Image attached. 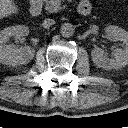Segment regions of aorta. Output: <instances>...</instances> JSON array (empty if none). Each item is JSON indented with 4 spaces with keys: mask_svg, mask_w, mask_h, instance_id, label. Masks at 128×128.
<instances>
[{
    "mask_svg": "<svg viewBox=\"0 0 128 128\" xmlns=\"http://www.w3.org/2000/svg\"><path fill=\"white\" fill-rule=\"evenodd\" d=\"M62 36L69 37L74 33V26L71 23H64L60 28Z\"/></svg>",
    "mask_w": 128,
    "mask_h": 128,
    "instance_id": "obj_1",
    "label": "aorta"
}]
</instances>
